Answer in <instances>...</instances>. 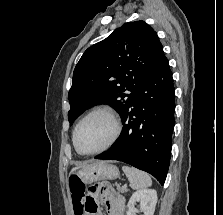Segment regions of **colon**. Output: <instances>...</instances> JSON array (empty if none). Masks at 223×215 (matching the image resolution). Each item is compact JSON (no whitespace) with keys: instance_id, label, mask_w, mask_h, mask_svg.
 <instances>
[{"instance_id":"1","label":"colon","mask_w":223,"mask_h":215,"mask_svg":"<svg viewBox=\"0 0 223 215\" xmlns=\"http://www.w3.org/2000/svg\"><path fill=\"white\" fill-rule=\"evenodd\" d=\"M75 215H86L93 207L86 202L85 189L78 176L73 175L69 180Z\"/></svg>"}]
</instances>
